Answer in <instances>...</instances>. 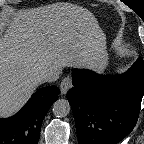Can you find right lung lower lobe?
Listing matches in <instances>:
<instances>
[{
  "mask_svg": "<svg viewBox=\"0 0 144 144\" xmlns=\"http://www.w3.org/2000/svg\"><path fill=\"white\" fill-rule=\"evenodd\" d=\"M58 94V87H44L17 114L0 119V144H37L43 119Z\"/></svg>",
  "mask_w": 144,
  "mask_h": 144,
  "instance_id": "obj_1",
  "label": "right lung lower lobe"
}]
</instances>
